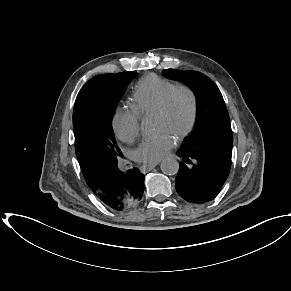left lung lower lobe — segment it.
I'll list each match as a JSON object with an SVG mask.
<instances>
[{
    "label": "left lung lower lobe",
    "instance_id": "left-lung-lower-lobe-1",
    "mask_svg": "<svg viewBox=\"0 0 291 291\" xmlns=\"http://www.w3.org/2000/svg\"><path fill=\"white\" fill-rule=\"evenodd\" d=\"M181 163L175 179L178 194L188 202L202 204L213 200L225 183L230 165L212 158L177 151Z\"/></svg>",
    "mask_w": 291,
    "mask_h": 291
}]
</instances>
